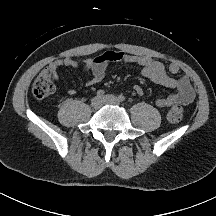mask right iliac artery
<instances>
[{
  "label": "right iliac artery",
  "mask_w": 216,
  "mask_h": 216,
  "mask_svg": "<svg viewBox=\"0 0 216 216\" xmlns=\"http://www.w3.org/2000/svg\"><path fill=\"white\" fill-rule=\"evenodd\" d=\"M104 94H105L104 90H98L97 93H96L97 97H100V98L102 96H104Z\"/></svg>",
  "instance_id": "82829eb1"
}]
</instances>
